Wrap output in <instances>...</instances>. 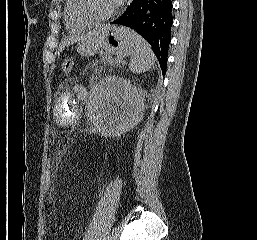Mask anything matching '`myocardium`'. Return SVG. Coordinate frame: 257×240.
I'll list each match as a JSON object with an SVG mask.
<instances>
[{"label": "myocardium", "mask_w": 257, "mask_h": 240, "mask_svg": "<svg viewBox=\"0 0 257 240\" xmlns=\"http://www.w3.org/2000/svg\"><path fill=\"white\" fill-rule=\"evenodd\" d=\"M75 10H76L77 15L81 19H83L89 23H92V24H99V23L106 22V21L110 20L111 18H113L115 16V14L117 13V6L115 5L113 10L104 16H96L87 9L86 0H75Z\"/></svg>", "instance_id": "f54148a6"}]
</instances>
